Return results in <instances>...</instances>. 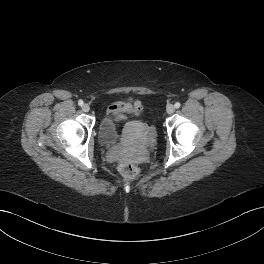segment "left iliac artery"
I'll use <instances>...</instances> for the list:
<instances>
[{"mask_svg": "<svg viewBox=\"0 0 264 264\" xmlns=\"http://www.w3.org/2000/svg\"><path fill=\"white\" fill-rule=\"evenodd\" d=\"M174 106L175 108H180L181 104L179 102H176Z\"/></svg>", "mask_w": 264, "mask_h": 264, "instance_id": "1", "label": "left iliac artery"}]
</instances>
